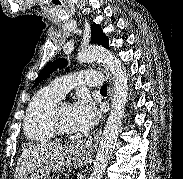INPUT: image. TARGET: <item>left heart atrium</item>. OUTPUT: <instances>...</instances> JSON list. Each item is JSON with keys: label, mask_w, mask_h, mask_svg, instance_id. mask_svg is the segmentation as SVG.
<instances>
[{"label": "left heart atrium", "mask_w": 183, "mask_h": 179, "mask_svg": "<svg viewBox=\"0 0 183 179\" xmlns=\"http://www.w3.org/2000/svg\"><path fill=\"white\" fill-rule=\"evenodd\" d=\"M99 115V109L92 100L82 96L72 107V127L75 131H86L97 122Z\"/></svg>", "instance_id": "39dd6f15"}]
</instances>
